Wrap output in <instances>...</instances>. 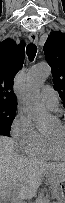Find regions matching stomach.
<instances>
[{
  "label": "stomach",
  "mask_w": 65,
  "mask_h": 203,
  "mask_svg": "<svg viewBox=\"0 0 65 203\" xmlns=\"http://www.w3.org/2000/svg\"><path fill=\"white\" fill-rule=\"evenodd\" d=\"M48 181L55 197L60 198L58 203H65V170L62 175L51 174Z\"/></svg>",
  "instance_id": "stomach-1"
}]
</instances>
